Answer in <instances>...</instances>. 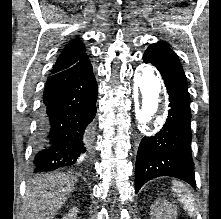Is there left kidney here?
I'll return each mask as SVG.
<instances>
[{
  "mask_svg": "<svg viewBox=\"0 0 221 219\" xmlns=\"http://www.w3.org/2000/svg\"><path fill=\"white\" fill-rule=\"evenodd\" d=\"M175 214L176 211L166 200H161V203H157L151 211L152 219H173L172 215Z\"/></svg>",
  "mask_w": 221,
  "mask_h": 219,
  "instance_id": "left-kidney-1",
  "label": "left kidney"
}]
</instances>
